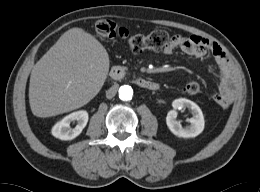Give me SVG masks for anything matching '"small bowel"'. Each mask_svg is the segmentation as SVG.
I'll return each mask as SVG.
<instances>
[{
  "label": "small bowel",
  "instance_id": "obj_1",
  "mask_svg": "<svg viewBox=\"0 0 260 192\" xmlns=\"http://www.w3.org/2000/svg\"><path fill=\"white\" fill-rule=\"evenodd\" d=\"M176 49L194 58H202L207 53L213 55L220 75L219 92L213 95V100L222 108H227L237 94L236 79L231 64L220 46L196 34L176 35L164 49V53L171 54Z\"/></svg>",
  "mask_w": 260,
  "mask_h": 192
}]
</instances>
